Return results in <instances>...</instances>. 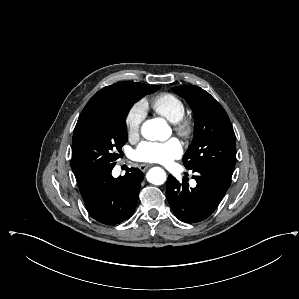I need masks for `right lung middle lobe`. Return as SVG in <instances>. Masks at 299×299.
<instances>
[{
  "mask_svg": "<svg viewBox=\"0 0 299 299\" xmlns=\"http://www.w3.org/2000/svg\"><path fill=\"white\" fill-rule=\"evenodd\" d=\"M158 89L145 85L136 96L111 101L74 131L72 168L78 185L115 166L118 152L128 140L125 118L129 109L142 96Z\"/></svg>",
  "mask_w": 299,
  "mask_h": 299,
  "instance_id": "dd1d6c3e",
  "label": "right lung middle lobe"
}]
</instances>
